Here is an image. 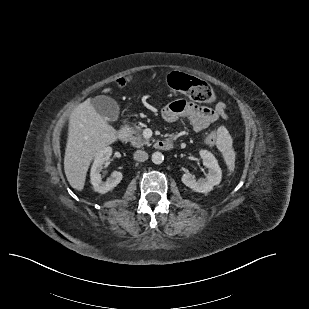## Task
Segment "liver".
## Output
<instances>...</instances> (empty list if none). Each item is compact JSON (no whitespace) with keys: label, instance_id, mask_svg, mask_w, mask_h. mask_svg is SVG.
I'll return each instance as SVG.
<instances>
[{"label":"liver","instance_id":"obj_1","mask_svg":"<svg viewBox=\"0 0 309 309\" xmlns=\"http://www.w3.org/2000/svg\"><path fill=\"white\" fill-rule=\"evenodd\" d=\"M110 91V88L103 90L104 93ZM117 138L116 130L94 109L91 99L74 109L64 156V171L72 188L83 190L91 161Z\"/></svg>","mask_w":309,"mask_h":309}]
</instances>
